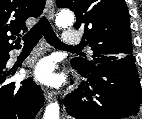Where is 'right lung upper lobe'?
Masks as SVG:
<instances>
[{
  "instance_id": "1",
  "label": "right lung upper lobe",
  "mask_w": 142,
  "mask_h": 119,
  "mask_svg": "<svg viewBox=\"0 0 142 119\" xmlns=\"http://www.w3.org/2000/svg\"><path fill=\"white\" fill-rule=\"evenodd\" d=\"M44 5L45 0H0V54L21 47L20 40L14 41L15 45L9 40L19 35L20 31L26 32L25 21L29 17H38Z\"/></svg>"
}]
</instances>
